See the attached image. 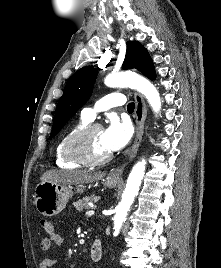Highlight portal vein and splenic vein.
I'll use <instances>...</instances> for the list:
<instances>
[{
  "mask_svg": "<svg viewBox=\"0 0 221 268\" xmlns=\"http://www.w3.org/2000/svg\"><path fill=\"white\" fill-rule=\"evenodd\" d=\"M94 213H95V211L93 209H90V210L86 211L85 215L92 216V215H94Z\"/></svg>",
  "mask_w": 221,
  "mask_h": 268,
  "instance_id": "obj_1",
  "label": "portal vein and splenic vein"
}]
</instances>
